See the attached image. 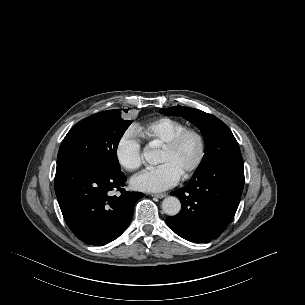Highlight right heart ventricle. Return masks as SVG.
<instances>
[{"label":"right heart ventricle","instance_id":"1","mask_svg":"<svg viewBox=\"0 0 305 305\" xmlns=\"http://www.w3.org/2000/svg\"><path fill=\"white\" fill-rule=\"evenodd\" d=\"M185 128L186 124L179 120L161 117L138 126L137 132L151 145L163 146Z\"/></svg>","mask_w":305,"mask_h":305}]
</instances>
